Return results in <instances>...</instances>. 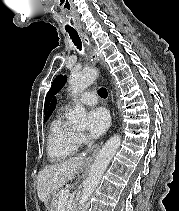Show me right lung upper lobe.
<instances>
[{
  "mask_svg": "<svg viewBox=\"0 0 179 211\" xmlns=\"http://www.w3.org/2000/svg\"><path fill=\"white\" fill-rule=\"evenodd\" d=\"M55 106H56V98L53 99L45 118H49V116L52 114L53 110L55 109Z\"/></svg>",
  "mask_w": 179,
  "mask_h": 211,
  "instance_id": "right-lung-upper-lobe-1",
  "label": "right lung upper lobe"
}]
</instances>
